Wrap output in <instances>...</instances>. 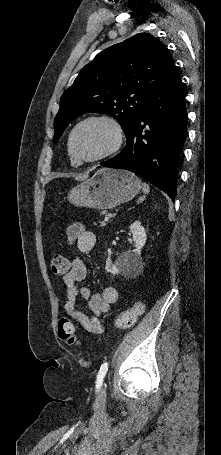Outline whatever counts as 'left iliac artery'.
<instances>
[{"mask_svg": "<svg viewBox=\"0 0 221 455\" xmlns=\"http://www.w3.org/2000/svg\"><path fill=\"white\" fill-rule=\"evenodd\" d=\"M107 371H108V363L105 362L101 365L100 370L97 375V381H96L97 389H100V387L102 386V383H103V380H104V377H105Z\"/></svg>", "mask_w": 221, "mask_h": 455, "instance_id": "left-iliac-artery-1", "label": "left iliac artery"}]
</instances>
